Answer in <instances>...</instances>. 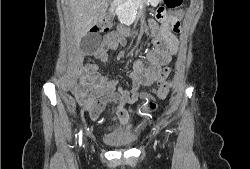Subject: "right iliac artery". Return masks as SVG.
<instances>
[{
  "instance_id": "1",
  "label": "right iliac artery",
  "mask_w": 250,
  "mask_h": 169,
  "mask_svg": "<svg viewBox=\"0 0 250 169\" xmlns=\"http://www.w3.org/2000/svg\"><path fill=\"white\" fill-rule=\"evenodd\" d=\"M82 144V131L79 132V145Z\"/></svg>"
}]
</instances>
